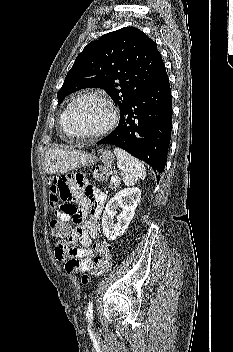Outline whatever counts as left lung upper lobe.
Wrapping results in <instances>:
<instances>
[{"instance_id": "1", "label": "left lung upper lobe", "mask_w": 233, "mask_h": 352, "mask_svg": "<svg viewBox=\"0 0 233 352\" xmlns=\"http://www.w3.org/2000/svg\"><path fill=\"white\" fill-rule=\"evenodd\" d=\"M166 71L156 43L134 27H125L89 43L77 56L57 93L89 87L104 89L123 110Z\"/></svg>"}]
</instances>
